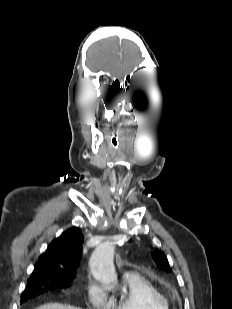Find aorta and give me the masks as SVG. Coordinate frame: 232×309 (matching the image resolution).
Returning a JSON list of instances; mask_svg holds the SVG:
<instances>
[{
	"label": "aorta",
	"instance_id": "obj_1",
	"mask_svg": "<svg viewBox=\"0 0 232 309\" xmlns=\"http://www.w3.org/2000/svg\"><path fill=\"white\" fill-rule=\"evenodd\" d=\"M114 249L112 242H104L93 251L90 258L89 264L93 277L104 285L117 283L113 265Z\"/></svg>",
	"mask_w": 232,
	"mask_h": 309
}]
</instances>
